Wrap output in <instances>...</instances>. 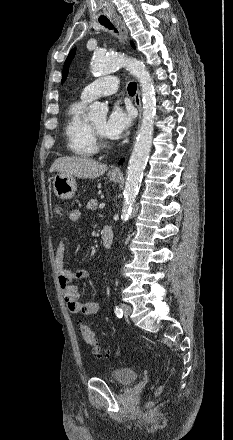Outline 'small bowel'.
<instances>
[{
	"instance_id": "1",
	"label": "small bowel",
	"mask_w": 233,
	"mask_h": 440,
	"mask_svg": "<svg viewBox=\"0 0 233 440\" xmlns=\"http://www.w3.org/2000/svg\"><path fill=\"white\" fill-rule=\"evenodd\" d=\"M79 210H72L68 214V220L76 222L81 218ZM65 245L60 242L55 250V267L59 278V284L66 301L68 310L73 314L85 316H96L100 311V304L97 301L82 302L78 289L71 283L78 279H86L90 273L87 269L72 270L65 266Z\"/></svg>"
}]
</instances>
